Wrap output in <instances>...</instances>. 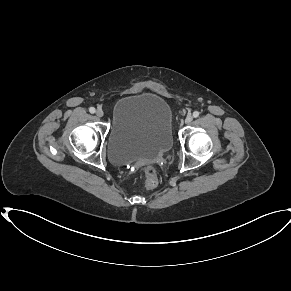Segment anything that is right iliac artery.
I'll use <instances>...</instances> for the list:
<instances>
[{"instance_id":"right-iliac-artery-1","label":"right iliac artery","mask_w":291,"mask_h":291,"mask_svg":"<svg viewBox=\"0 0 291 291\" xmlns=\"http://www.w3.org/2000/svg\"><path fill=\"white\" fill-rule=\"evenodd\" d=\"M89 112L92 113V114L95 113V108L94 107H90Z\"/></svg>"}]
</instances>
